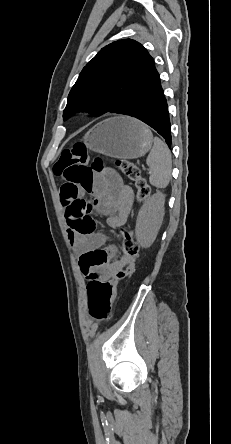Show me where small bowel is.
<instances>
[{"label":"small bowel","instance_id":"c3829d8e","mask_svg":"<svg viewBox=\"0 0 231 444\" xmlns=\"http://www.w3.org/2000/svg\"><path fill=\"white\" fill-rule=\"evenodd\" d=\"M93 196L95 211L107 217L108 225L118 229L127 221L134 202L132 189L125 185L120 175L108 168L93 179L89 188L61 187L60 198L68 224V234L73 247L79 253L81 271L89 280L106 279L115 275L125 264L113 247L101 248V235H81L74 228L75 218L70 213L74 201L81 200L82 194Z\"/></svg>","mask_w":231,"mask_h":444}]
</instances>
